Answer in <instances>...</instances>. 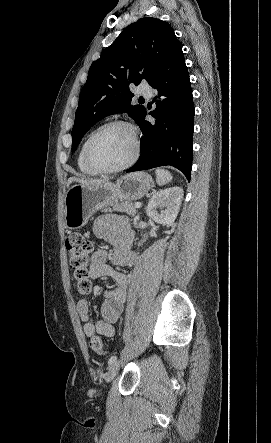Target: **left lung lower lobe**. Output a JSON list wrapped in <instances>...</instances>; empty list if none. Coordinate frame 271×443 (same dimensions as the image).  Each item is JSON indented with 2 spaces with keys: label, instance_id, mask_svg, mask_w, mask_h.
<instances>
[{
  "label": "left lung lower lobe",
  "instance_id": "1",
  "mask_svg": "<svg viewBox=\"0 0 271 443\" xmlns=\"http://www.w3.org/2000/svg\"><path fill=\"white\" fill-rule=\"evenodd\" d=\"M148 82L158 90L154 99L156 109L149 112L156 121L150 123L144 120L145 109L139 123L143 132L141 155L126 172L170 165L179 169L190 181L194 104L181 45L169 53Z\"/></svg>",
  "mask_w": 271,
  "mask_h": 443
}]
</instances>
